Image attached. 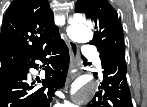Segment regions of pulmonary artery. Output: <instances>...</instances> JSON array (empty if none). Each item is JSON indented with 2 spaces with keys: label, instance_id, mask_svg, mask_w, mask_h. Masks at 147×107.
I'll return each mask as SVG.
<instances>
[{
  "label": "pulmonary artery",
  "instance_id": "obj_1",
  "mask_svg": "<svg viewBox=\"0 0 147 107\" xmlns=\"http://www.w3.org/2000/svg\"><path fill=\"white\" fill-rule=\"evenodd\" d=\"M84 54L92 59H94L95 64L100 67V61L98 57L96 56V51L94 48L90 46H84Z\"/></svg>",
  "mask_w": 147,
  "mask_h": 107
}]
</instances>
